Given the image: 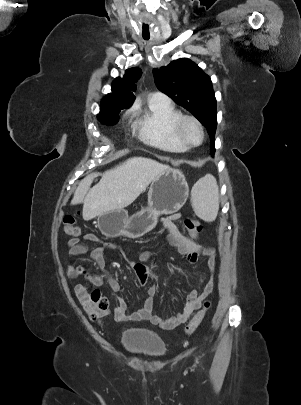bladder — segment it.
I'll list each match as a JSON object with an SVG mask.
<instances>
[{
	"mask_svg": "<svg viewBox=\"0 0 301 405\" xmlns=\"http://www.w3.org/2000/svg\"><path fill=\"white\" fill-rule=\"evenodd\" d=\"M124 349L135 355L159 358L165 354L166 348L161 337L145 328H129L121 337Z\"/></svg>",
	"mask_w": 301,
	"mask_h": 405,
	"instance_id": "1",
	"label": "bladder"
}]
</instances>
